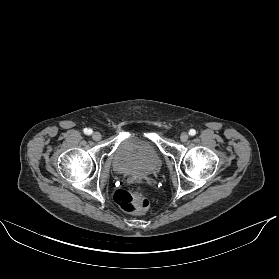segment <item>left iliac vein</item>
Instances as JSON below:
<instances>
[{
	"instance_id": "1",
	"label": "left iliac vein",
	"mask_w": 279,
	"mask_h": 279,
	"mask_svg": "<svg viewBox=\"0 0 279 279\" xmlns=\"http://www.w3.org/2000/svg\"><path fill=\"white\" fill-rule=\"evenodd\" d=\"M188 138H189V135L185 132L180 135V140L182 142H186L188 140Z\"/></svg>"
}]
</instances>
